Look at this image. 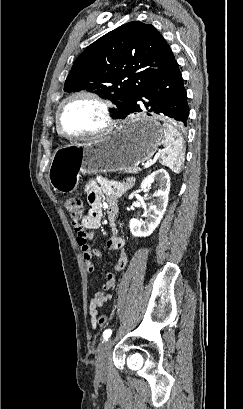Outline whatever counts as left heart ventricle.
Segmentation results:
<instances>
[{
    "label": "left heart ventricle",
    "instance_id": "1",
    "mask_svg": "<svg viewBox=\"0 0 243 409\" xmlns=\"http://www.w3.org/2000/svg\"><path fill=\"white\" fill-rule=\"evenodd\" d=\"M103 123L101 107L85 97L69 101L61 115L62 129L69 135L90 133L101 128Z\"/></svg>",
    "mask_w": 243,
    "mask_h": 409
}]
</instances>
